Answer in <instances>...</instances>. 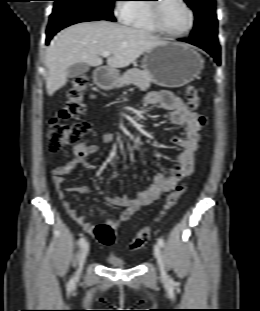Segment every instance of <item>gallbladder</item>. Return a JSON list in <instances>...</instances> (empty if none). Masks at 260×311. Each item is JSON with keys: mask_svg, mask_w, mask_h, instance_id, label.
<instances>
[{"mask_svg": "<svg viewBox=\"0 0 260 311\" xmlns=\"http://www.w3.org/2000/svg\"><path fill=\"white\" fill-rule=\"evenodd\" d=\"M88 70H89V67H88L87 64H85V63H77V64H74V65H71L67 69V76L69 78L78 77L80 75L85 74Z\"/></svg>", "mask_w": 260, "mask_h": 311, "instance_id": "1", "label": "gallbladder"}]
</instances>
